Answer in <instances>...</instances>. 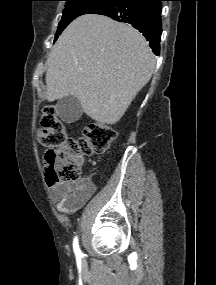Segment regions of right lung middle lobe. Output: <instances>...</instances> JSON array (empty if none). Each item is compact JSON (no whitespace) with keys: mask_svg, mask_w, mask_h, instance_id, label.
I'll return each instance as SVG.
<instances>
[{"mask_svg":"<svg viewBox=\"0 0 216 285\" xmlns=\"http://www.w3.org/2000/svg\"><path fill=\"white\" fill-rule=\"evenodd\" d=\"M64 1H66V5L63 11L62 19L59 22V27L57 29L54 42L61 34V32L66 28V26L75 18L84 14L94 13L97 10L111 4L115 0H64Z\"/></svg>","mask_w":216,"mask_h":285,"instance_id":"dd1d6c3e","label":"right lung middle lobe"}]
</instances>
